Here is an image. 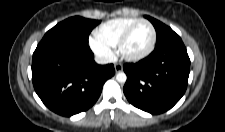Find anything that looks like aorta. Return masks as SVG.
Listing matches in <instances>:
<instances>
[{
  "instance_id": "762f6f07",
  "label": "aorta",
  "mask_w": 225,
  "mask_h": 132,
  "mask_svg": "<svg viewBox=\"0 0 225 132\" xmlns=\"http://www.w3.org/2000/svg\"><path fill=\"white\" fill-rule=\"evenodd\" d=\"M116 80L119 82V83H125L126 80H127V76L124 72H119L117 73L116 75Z\"/></svg>"
}]
</instances>
